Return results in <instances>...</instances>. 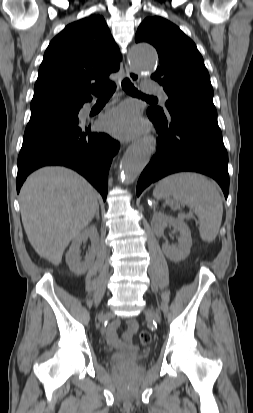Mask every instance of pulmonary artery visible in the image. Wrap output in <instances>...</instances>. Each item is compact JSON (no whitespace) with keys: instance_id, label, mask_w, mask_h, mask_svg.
I'll return each instance as SVG.
<instances>
[{"instance_id":"1","label":"pulmonary artery","mask_w":253,"mask_h":413,"mask_svg":"<svg viewBox=\"0 0 253 413\" xmlns=\"http://www.w3.org/2000/svg\"><path fill=\"white\" fill-rule=\"evenodd\" d=\"M143 90L150 94L159 95L162 101L166 102L168 100V96L165 94L163 89L157 85L156 83H145L143 85Z\"/></svg>"}]
</instances>
